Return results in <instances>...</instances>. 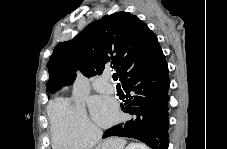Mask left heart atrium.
Wrapping results in <instances>:
<instances>
[{"label":"left heart atrium","mask_w":227,"mask_h":149,"mask_svg":"<svg viewBox=\"0 0 227 149\" xmlns=\"http://www.w3.org/2000/svg\"><path fill=\"white\" fill-rule=\"evenodd\" d=\"M90 110L95 121L102 126L110 125L118 116L115 102L108 97H94L90 101Z\"/></svg>","instance_id":"1"}]
</instances>
